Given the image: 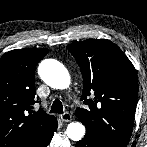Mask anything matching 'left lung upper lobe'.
I'll use <instances>...</instances> for the list:
<instances>
[{
    "mask_svg": "<svg viewBox=\"0 0 147 147\" xmlns=\"http://www.w3.org/2000/svg\"><path fill=\"white\" fill-rule=\"evenodd\" d=\"M83 76L81 99L87 109L75 115L106 147H126L132 133L138 80L134 66L121 49L107 39H88L67 46ZM92 96V99L87 97Z\"/></svg>",
    "mask_w": 147,
    "mask_h": 147,
    "instance_id": "obj_1",
    "label": "left lung upper lobe"
}]
</instances>
